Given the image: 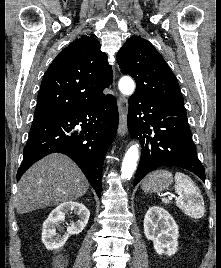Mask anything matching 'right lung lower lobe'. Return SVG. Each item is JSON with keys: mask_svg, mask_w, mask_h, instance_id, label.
I'll use <instances>...</instances> for the list:
<instances>
[{"mask_svg": "<svg viewBox=\"0 0 221 268\" xmlns=\"http://www.w3.org/2000/svg\"><path fill=\"white\" fill-rule=\"evenodd\" d=\"M118 120L112 95L62 114L34 117L17 180L45 155L59 152L81 168L100 198L104 158L115 137Z\"/></svg>", "mask_w": 221, "mask_h": 268, "instance_id": "1", "label": "right lung lower lobe"}]
</instances>
